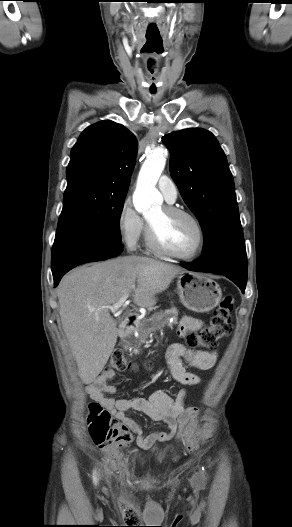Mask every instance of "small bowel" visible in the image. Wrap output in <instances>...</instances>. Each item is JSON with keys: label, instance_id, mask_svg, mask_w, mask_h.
<instances>
[{"label": "small bowel", "instance_id": "c3829d8e", "mask_svg": "<svg viewBox=\"0 0 292 527\" xmlns=\"http://www.w3.org/2000/svg\"><path fill=\"white\" fill-rule=\"evenodd\" d=\"M202 326V322L191 316L181 320L178 334L183 336L188 331H194ZM170 374L177 382L193 386L200 382V377L185 369L184 359L190 366L199 370L211 369L217 361L215 351H193L180 343L172 344L166 353ZM115 376L113 371H105L88 386L89 394L99 400L114 416L136 435L137 445L145 450L154 447L156 442H166L175 439L183 444L188 451H194L203 441V430L198 423L199 411L196 408H185L184 401L187 391L182 390L174 399L164 391H156L149 398L144 397H111L117 388L108 382ZM127 411L141 412L156 422L167 424L169 431L153 429L147 434L142 426L126 415Z\"/></svg>", "mask_w": 292, "mask_h": 527}]
</instances>
